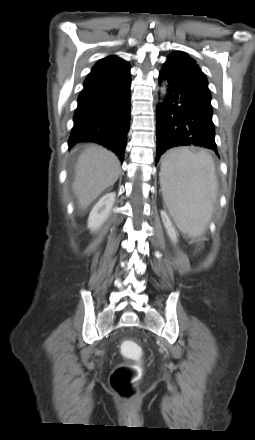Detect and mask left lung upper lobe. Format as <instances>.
I'll return each mask as SVG.
<instances>
[{"instance_id": "1", "label": "left lung upper lobe", "mask_w": 255, "mask_h": 440, "mask_svg": "<svg viewBox=\"0 0 255 440\" xmlns=\"http://www.w3.org/2000/svg\"><path fill=\"white\" fill-rule=\"evenodd\" d=\"M163 67L190 87L211 97L205 74L196 62L185 53L174 52L170 54Z\"/></svg>"}]
</instances>
